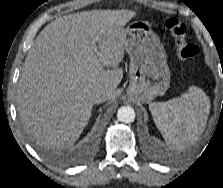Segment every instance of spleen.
<instances>
[{
  "label": "spleen",
  "instance_id": "spleen-1",
  "mask_svg": "<svg viewBox=\"0 0 223 188\" xmlns=\"http://www.w3.org/2000/svg\"><path fill=\"white\" fill-rule=\"evenodd\" d=\"M149 109L165 141L176 148H185L203 132L210 100L202 89L191 86L179 97L151 103Z\"/></svg>",
  "mask_w": 223,
  "mask_h": 188
}]
</instances>
